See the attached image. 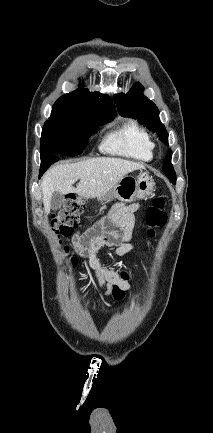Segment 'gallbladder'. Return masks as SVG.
Wrapping results in <instances>:
<instances>
[{"label":"gallbladder","instance_id":"obj_1","mask_svg":"<svg viewBox=\"0 0 213 433\" xmlns=\"http://www.w3.org/2000/svg\"><path fill=\"white\" fill-rule=\"evenodd\" d=\"M64 203V196L62 193L55 191L50 200V208L52 210H58L61 208L62 204Z\"/></svg>","mask_w":213,"mask_h":433}]
</instances>
